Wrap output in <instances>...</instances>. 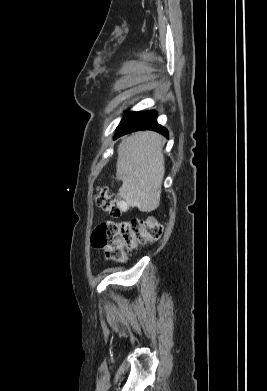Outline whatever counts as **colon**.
<instances>
[{"label":"colon","instance_id":"5ec220e1","mask_svg":"<svg viewBox=\"0 0 267 391\" xmlns=\"http://www.w3.org/2000/svg\"><path fill=\"white\" fill-rule=\"evenodd\" d=\"M95 203L113 218L122 213L121 202L106 187L98 189ZM162 234L163 228L158 218L147 215L127 222H103L94 229L91 243L96 248L104 249L108 259L124 262L128 251L146 243L156 242Z\"/></svg>","mask_w":267,"mask_h":391}]
</instances>
